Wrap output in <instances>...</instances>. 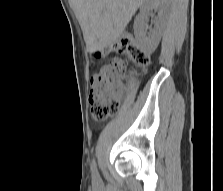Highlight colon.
Returning a JSON list of instances; mask_svg holds the SVG:
<instances>
[{"instance_id":"5ec220e1","label":"colon","mask_w":223,"mask_h":191,"mask_svg":"<svg viewBox=\"0 0 223 191\" xmlns=\"http://www.w3.org/2000/svg\"><path fill=\"white\" fill-rule=\"evenodd\" d=\"M111 49L127 54L140 66L149 63V57L140 50L129 34L120 36ZM124 73L123 61L119 58H113L92 77L89 102L95 121H105L116 113L119 106V81Z\"/></svg>"}]
</instances>
